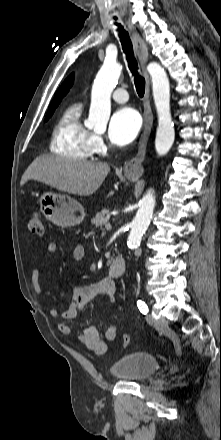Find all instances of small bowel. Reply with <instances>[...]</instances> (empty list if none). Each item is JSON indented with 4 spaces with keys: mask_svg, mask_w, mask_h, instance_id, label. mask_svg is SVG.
<instances>
[{
    "mask_svg": "<svg viewBox=\"0 0 221 440\" xmlns=\"http://www.w3.org/2000/svg\"><path fill=\"white\" fill-rule=\"evenodd\" d=\"M47 250L54 255L58 251L57 244L50 242L47 245ZM84 258V248L82 245H77L73 250L74 261H81ZM41 270L39 267L33 269V284L37 293L42 291L39 283ZM116 294L115 281L109 277H105L95 283L88 285L77 286L73 290V295L68 306L64 310L62 317L64 320H71L76 318L88 305V303L98 295H106L111 301H114ZM50 316L58 318L59 312L57 309H50ZM61 334L67 336H74L75 339L90 351L97 354H104L109 346V343L116 338V328L113 323H110L104 333V337H100L97 329L93 325L87 326L80 335L75 336L71 327L64 321L57 325Z\"/></svg>",
    "mask_w": 221,
    "mask_h": 440,
    "instance_id": "small-bowel-1",
    "label": "small bowel"
}]
</instances>
